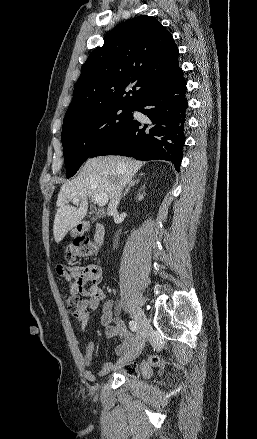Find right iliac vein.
<instances>
[{"mask_svg": "<svg viewBox=\"0 0 257 439\" xmlns=\"http://www.w3.org/2000/svg\"><path fill=\"white\" fill-rule=\"evenodd\" d=\"M134 320L137 322L139 331L136 339V356L140 354L144 348L146 341V333L148 328V321L145 314L141 310H136L132 313Z\"/></svg>", "mask_w": 257, "mask_h": 439, "instance_id": "1", "label": "right iliac vein"}]
</instances>
